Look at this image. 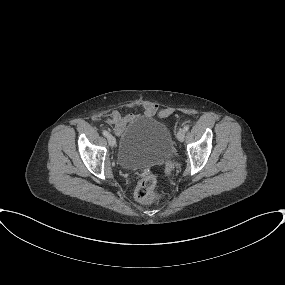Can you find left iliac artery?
<instances>
[{
  "mask_svg": "<svg viewBox=\"0 0 285 285\" xmlns=\"http://www.w3.org/2000/svg\"><path fill=\"white\" fill-rule=\"evenodd\" d=\"M184 131L186 132V131H188L189 130V126L188 125H186V126H184Z\"/></svg>",
  "mask_w": 285,
  "mask_h": 285,
  "instance_id": "44dca946",
  "label": "left iliac artery"
}]
</instances>
